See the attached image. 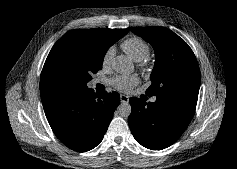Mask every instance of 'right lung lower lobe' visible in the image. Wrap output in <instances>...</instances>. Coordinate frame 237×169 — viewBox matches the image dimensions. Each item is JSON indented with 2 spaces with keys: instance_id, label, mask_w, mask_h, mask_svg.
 Returning <instances> with one entry per match:
<instances>
[{
  "instance_id": "right-lung-lower-lobe-1",
  "label": "right lung lower lobe",
  "mask_w": 237,
  "mask_h": 169,
  "mask_svg": "<svg viewBox=\"0 0 237 169\" xmlns=\"http://www.w3.org/2000/svg\"><path fill=\"white\" fill-rule=\"evenodd\" d=\"M42 103L58 139L72 150L85 152L102 141L120 96L103 92L98 97L85 86L63 88L42 98Z\"/></svg>"
}]
</instances>
